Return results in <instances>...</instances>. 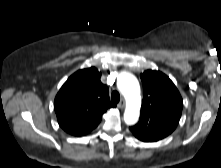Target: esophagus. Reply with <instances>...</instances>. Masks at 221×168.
<instances>
[{"label":"esophagus","instance_id":"esophagus-1","mask_svg":"<svg viewBox=\"0 0 221 168\" xmlns=\"http://www.w3.org/2000/svg\"><path fill=\"white\" fill-rule=\"evenodd\" d=\"M125 107V100L121 99L120 102L118 103V108L123 109Z\"/></svg>","mask_w":221,"mask_h":168}]
</instances>
